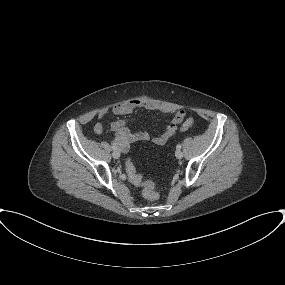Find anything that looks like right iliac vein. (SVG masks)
<instances>
[{"label":"right iliac vein","mask_w":285,"mask_h":285,"mask_svg":"<svg viewBox=\"0 0 285 285\" xmlns=\"http://www.w3.org/2000/svg\"><path fill=\"white\" fill-rule=\"evenodd\" d=\"M113 158L118 159L120 157V151L114 150L112 153Z\"/></svg>","instance_id":"obj_1"}]
</instances>
